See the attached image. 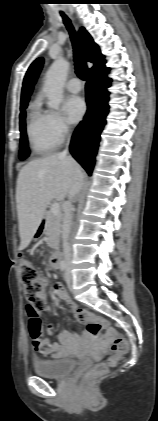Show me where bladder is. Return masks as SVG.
<instances>
[{
  "mask_svg": "<svg viewBox=\"0 0 158 421\" xmlns=\"http://www.w3.org/2000/svg\"><path fill=\"white\" fill-rule=\"evenodd\" d=\"M77 366L72 357H60L51 360L38 359L33 362L34 372L41 377L60 379L71 374Z\"/></svg>",
  "mask_w": 158,
  "mask_h": 421,
  "instance_id": "bladder-1",
  "label": "bladder"
}]
</instances>
